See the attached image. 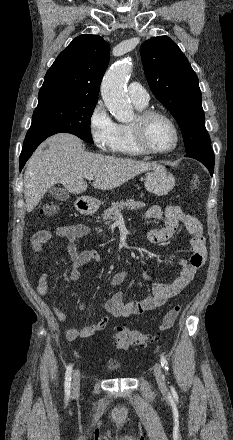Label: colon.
Here are the masks:
<instances>
[{
	"mask_svg": "<svg viewBox=\"0 0 233 440\" xmlns=\"http://www.w3.org/2000/svg\"><path fill=\"white\" fill-rule=\"evenodd\" d=\"M200 186V179L198 176H194L190 180V189L196 190ZM59 207L55 203H46L42 206V213L46 216H54L57 214ZM181 311V307L179 305L171 308L166 315L162 318L158 329L166 330L172 327L178 318ZM116 345L118 348L122 350H127L132 346L137 347H146L147 344L154 339H156V334H145L139 331L130 329L125 326H118L115 328L113 333Z\"/></svg>",
	"mask_w": 233,
	"mask_h": 440,
	"instance_id": "obj_1",
	"label": "colon"
}]
</instances>
